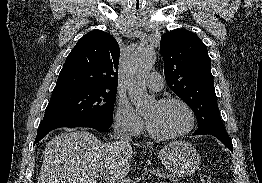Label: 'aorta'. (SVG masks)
Instances as JSON below:
<instances>
[{
	"instance_id": "obj_1",
	"label": "aorta",
	"mask_w": 262,
	"mask_h": 183,
	"mask_svg": "<svg viewBox=\"0 0 262 183\" xmlns=\"http://www.w3.org/2000/svg\"><path fill=\"white\" fill-rule=\"evenodd\" d=\"M155 59L152 47H139L128 62V95L138 112L146 110L154 103V99L147 94L143 78L152 69Z\"/></svg>"
}]
</instances>
